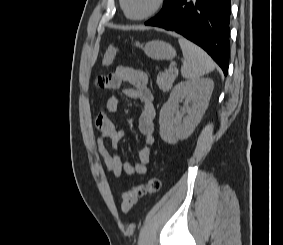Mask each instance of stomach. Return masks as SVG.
<instances>
[{"label": "stomach", "instance_id": "0dacf381", "mask_svg": "<svg viewBox=\"0 0 283 245\" xmlns=\"http://www.w3.org/2000/svg\"><path fill=\"white\" fill-rule=\"evenodd\" d=\"M135 45L141 48L144 53L155 60H171L176 56L175 49L169 44L161 40H153L145 45L136 42Z\"/></svg>", "mask_w": 283, "mask_h": 245}]
</instances>
